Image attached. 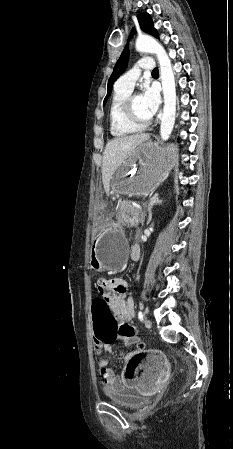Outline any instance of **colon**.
I'll return each instance as SVG.
<instances>
[{
  "label": "colon",
  "instance_id": "obj_1",
  "mask_svg": "<svg viewBox=\"0 0 233 449\" xmlns=\"http://www.w3.org/2000/svg\"><path fill=\"white\" fill-rule=\"evenodd\" d=\"M91 332L96 335V342L99 349H106L108 343H117L119 337L118 326L109 310L108 301L90 302ZM146 351L142 344H139L138 351L126 357L127 363L124 368L126 375H138L139 368H143L146 361Z\"/></svg>",
  "mask_w": 233,
  "mask_h": 449
}]
</instances>
